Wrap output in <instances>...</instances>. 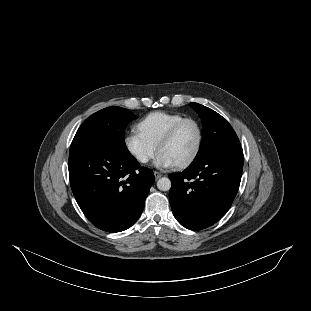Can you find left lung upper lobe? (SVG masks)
Listing matches in <instances>:
<instances>
[{"label":"left lung upper lobe","mask_w":311,"mask_h":311,"mask_svg":"<svg viewBox=\"0 0 311 311\" xmlns=\"http://www.w3.org/2000/svg\"><path fill=\"white\" fill-rule=\"evenodd\" d=\"M190 106L199 114L203 125L200 149L193 163L223 150L241 147L235 131L225 118L198 103H190Z\"/></svg>","instance_id":"obj_1"}]
</instances>
